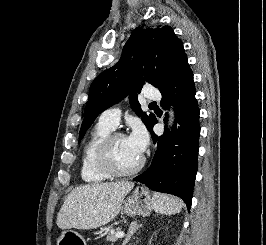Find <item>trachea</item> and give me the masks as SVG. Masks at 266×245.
Masks as SVG:
<instances>
[{
  "instance_id": "obj_1",
  "label": "trachea",
  "mask_w": 266,
  "mask_h": 245,
  "mask_svg": "<svg viewBox=\"0 0 266 245\" xmlns=\"http://www.w3.org/2000/svg\"><path fill=\"white\" fill-rule=\"evenodd\" d=\"M150 105H156V102H151V104Z\"/></svg>"
}]
</instances>
